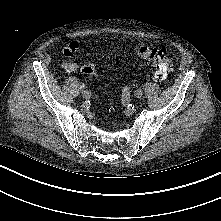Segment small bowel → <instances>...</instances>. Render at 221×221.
Instances as JSON below:
<instances>
[{"mask_svg": "<svg viewBox=\"0 0 221 221\" xmlns=\"http://www.w3.org/2000/svg\"><path fill=\"white\" fill-rule=\"evenodd\" d=\"M80 46L77 42H71L67 46L64 47L63 53L66 57L72 56L75 52L79 50ZM62 67L66 72H75L79 65L74 62L64 61L62 63Z\"/></svg>", "mask_w": 221, "mask_h": 221, "instance_id": "obj_1", "label": "small bowel"}]
</instances>
